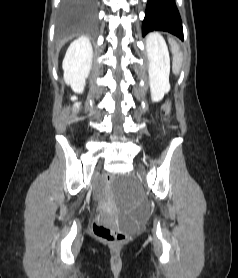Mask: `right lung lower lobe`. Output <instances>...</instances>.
I'll list each match as a JSON object with an SVG mask.
<instances>
[{
    "label": "right lung lower lobe",
    "mask_w": 238,
    "mask_h": 278,
    "mask_svg": "<svg viewBox=\"0 0 238 278\" xmlns=\"http://www.w3.org/2000/svg\"><path fill=\"white\" fill-rule=\"evenodd\" d=\"M96 0H66L63 25L66 28H79L93 23Z\"/></svg>",
    "instance_id": "right-lung-lower-lobe-1"
}]
</instances>
